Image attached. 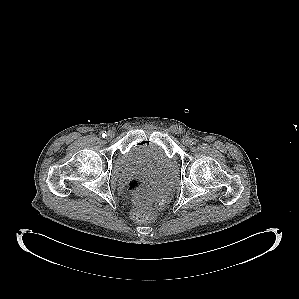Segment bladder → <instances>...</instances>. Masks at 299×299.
<instances>
[{"label": "bladder", "instance_id": "bladder-1", "mask_svg": "<svg viewBox=\"0 0 299 299\" xmlns=\"http://www.w3.org/2000/svg\"><path fill=\"white\" fill-rule=\"evenodd\" d=\"M145 164L153 165L169 176L175 174L171 159L159 138H148L132 143L115 163L114 174L121 180L136 168Z\"/></svg>", "mask_w": 299, "mask_h": 299}]
</instances>
